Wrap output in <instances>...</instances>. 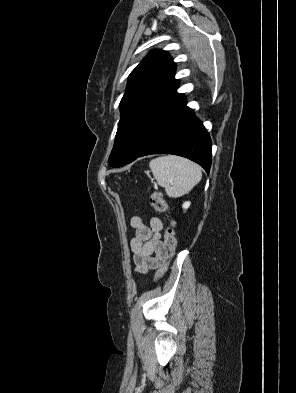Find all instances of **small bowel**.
I'll return each mask as SVG.
<instances>
[{
	"label": "small bowel",
	"instance_id": "small-bowel-1",
	"mask_svg": "<svg viewBox=\"0 0 296 393\" xmlns=\"http://www.w3.org/2000/svg\"><path fill=\"white\" fill-rule=\"evenodd\" d=\"M130 223L135 229L130 247L136 270L147 273L159 267L168 257L166 247L161 240L163 222L159 217L152 216L149 224H146L140 217L133 216Z\"/></svg>",
	"mask_w": 296,
	"mask_h": 393
}]
</instances>
